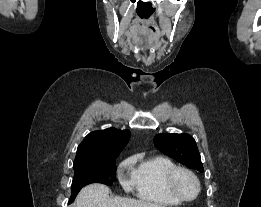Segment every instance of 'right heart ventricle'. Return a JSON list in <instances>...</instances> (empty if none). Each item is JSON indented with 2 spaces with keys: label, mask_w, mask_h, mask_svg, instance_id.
I'll return each instance as SVG.
<instances>
[{
  "label": "right heart ventricle",
  "mask_w": 261,
  "mask_h": 207,
  "mask_svg": "<svg viewBox=\"0 0 261 207\" xmlns=\"http://www.w3.org/2000/svg\"><path fill=\"white\" fill-rule=\"evenodd\" d=\"M129 162L133 166L138 198L164 206H177L181 203L169 192L166 185L168 173L176 167L171 159L162 155L133 156Z\"/></svg>",
  "instance_id": "1"
}]
</instances>
